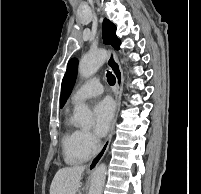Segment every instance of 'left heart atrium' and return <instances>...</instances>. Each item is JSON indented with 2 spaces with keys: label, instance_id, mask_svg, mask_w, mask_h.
<instances>
[{
  "label": "left heart atrium",
  "instance_id": "39dd6f15",
  "mask_svg": "<svg viewBox=\"0 0 201 194\" xmlns=\"http://www.w3.org/2000/svg\"><path fill=\"white\" fill-rule=\"evenodd\" d=\"M114 105L110 99L99 101L94 107V132L98 136H104L113 121Z\"/></svg>",
  "mask_w": 201,
  "mask_h": 194
}]
</instances>
